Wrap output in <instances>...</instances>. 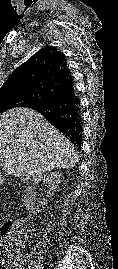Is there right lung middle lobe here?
Masks as SVG:
<instances>
[{
  "instance_id": "1",
  "label": "right lung middle lobe",
  "mask_w": 118,
  "mask_h": 269,
  "mask_svg": "<svg viewBox=\"0 0 118 269\" xmlns=\"http://www.w3.org/2000/svg\"><path fill=\"white\" fill-rule=\"evenodd\" d=\"M36 102H38L37 98L30 95H4L0 97V113L14 107H29Z\"/></svg>"
}]
</instances>
